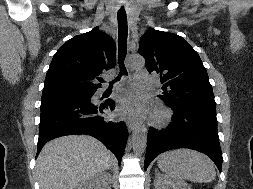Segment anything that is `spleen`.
I'll list each match as a JSON object with an SVG mask.
<instances>
[{
    "label": "spleen",
    "instance_id": "obj_1",
    "mask_svg": "<svg viewBox=\"0 0 253 189\" xmlns=\"http://www.w3.org/2000/svg\"><path fill=\"white\" fill-rule=\"evenodd\" d=\"M158 167L173 180L211 182L216 177L213 162L204 154L190 149H176L158 157Z\"/></svg>",
    "mask_w": 253,
    "mask_h": 189
}]
</instances>
